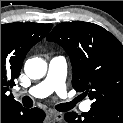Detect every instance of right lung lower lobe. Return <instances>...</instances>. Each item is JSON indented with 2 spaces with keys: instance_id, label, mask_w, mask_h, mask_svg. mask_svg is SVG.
I'll use <instances>...</instances> for the list:
<instances>
[{
  "instance_id": "1",
  "label": "right lung lower lobe",
  "mask_w": 123,
  "mask_h": 123,
  "mask_svg": "<svg viewBox=\"0 0 123 123\" xmlns=\"http://www.w3.org/2000/svg\"><path fill=\"white\" fill-rule=\"evenodd\" d=\"M45 113L39 108L26 109L21 104L1 106V123H42Z\"/></svg>"
}]
</instances>
